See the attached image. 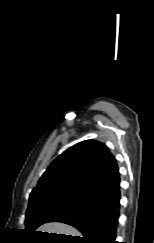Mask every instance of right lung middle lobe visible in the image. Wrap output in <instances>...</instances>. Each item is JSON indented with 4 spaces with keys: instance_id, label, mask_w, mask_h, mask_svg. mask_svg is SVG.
Instances as JSON below:
<instances>
[{
    "instance_id": "obj_1",
    "label": "right lung middle lobe",
    "mask_w": 154,
    "mask_h": 243,
    "mask_svg": "<svg viewBox=\"0 0 154 243\" xmlns=\"http://www.w3.org/2000/svg\"><path fill=\"white\" fill-rule=\"evenodd\" d=\"M86 201L68 196H44L29 201L25 217V232L33 234L36 228L46 223L53 215L66 208H74Z\"/></svg>"
}]
</instances>
